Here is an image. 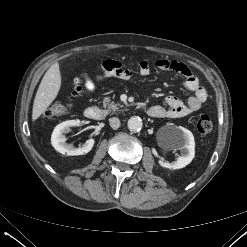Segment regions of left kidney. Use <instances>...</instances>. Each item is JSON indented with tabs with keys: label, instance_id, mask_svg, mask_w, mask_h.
I'll use <instances>...</instances> for the list:
<instances>
[{
	"label": "left kidney",
	"instance_id": "left-kidney-1",
	"mask_svg": "<svg viewBox=\"0 0 247 247\" xmlns=\"http://www.w3.org/2000/svg\"><path fill=\"white\" fill-rule=\"evenodd\" d=\"M170 137L171 148L181 150V156L174 162H160L162 167L168 169H181L188 165L195 156V141L191 131L183 127H173Z\"/></svg>",
	"mask_w": 247,
	"mask_h": 247
}]
</instances>
